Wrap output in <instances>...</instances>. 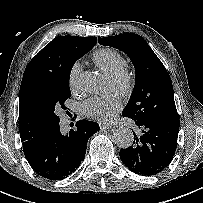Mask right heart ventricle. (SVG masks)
I'll list each match as a JSON object with an SVG mask.
<instances>
[{
	"instance_id": "1",
	"label": "right heart ventricle",
	"mask_w": 203,
	"mask_h": 203,
	"mask_svg": "<svg viewBox=\"0 0 203 203\" xmlns=\"http://www.w3.org/2000/svg\"><path fill=\"white\" fill-rule=\"evenodd\" d=\"M92 59L107 74L125 65V60L120 52L108 47L96 50L92 55Z\"/></svg>"
}]
</instances>
